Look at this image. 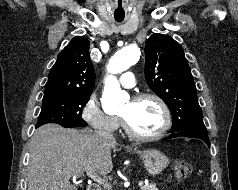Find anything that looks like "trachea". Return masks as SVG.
Here are the masks:
<instances>
[{
    "label": "trachea",
    "mask_w": 238,
    "mask_h": 190,
    "mask_svg": "<svg viewBox=\"0 0 238 190\" xmlns=\"http://www.w3.org/2000/svg\"><path fill=\"white\" fill-rule=\"evenodd\" d=\"M122 20H123V19H118V18L116 19L117 22H121Z\"/></svg>",
    "instance_id": "1"
}]
</instances>
